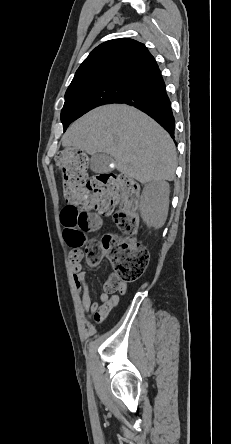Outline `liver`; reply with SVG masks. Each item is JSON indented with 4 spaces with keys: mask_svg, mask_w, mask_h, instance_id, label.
I'll return each mask as SVG.
<instances>
[{
    "mask_svg": "<svg viewBox=\"0 0 231 444\" xmlns=\"http://www.w3.org/2000/svg\"><path fill=\"white\" fill-rule=\"evenodd\" d=\"M64 147L90 155H111L122 174L141 183L172 181L177 155L169 134L140 110L110 104L74 122L62 137Z\"/></svg>",
    "mask_w": 231,
    "mask_h": 444,
    "instance_id": "1",
    "label": "liver"
}]
</instances>
